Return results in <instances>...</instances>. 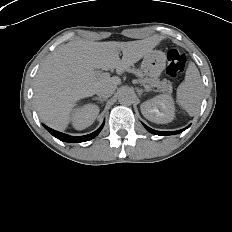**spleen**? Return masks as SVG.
<instances>
[{"instance_id": "spleen-1", "label": "spleen", "mask_w": 232, "mask_h": 232, "mask_svg": "<svg viewBox=\"0 0 232 232\" xmlns=\"http://www.w3.org/2000/svg\"><path fill=\"white\" fill-rule=\"evenodd\" d=\"M202 95V80L194 63L189 64L185 80L177 89V102L183 106L189 115H195L200 107Z\"/></svg>"}]
</instances>
